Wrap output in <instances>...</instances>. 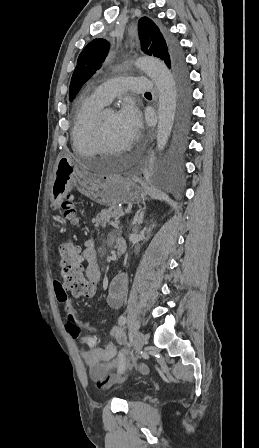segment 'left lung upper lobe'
Returning <instances> with one entry per match:
<instances>
[{"instance_id": "left-lung-upper-lobe-1", "label": "left lung upper lobe", "mask_w": 259, "mask_h": 448, "mask_svg": "<svg viewBox=\"0 0 259 448\" xmlns=\"http://www.w3.org/2000/svg\"><path fill=\"white\" fill-rule=\"evenodd\" d=\"M142 50L148 54L164 60L170 66L176 55L174 44L171 40H165L155 23L143 17L138 24ZM109 43L104 39L91 41L80 53L77 66L71 78L69 98L72 101L81 86L100 69L101 63L108 54Z\"/></svg>"}]
</instances>
